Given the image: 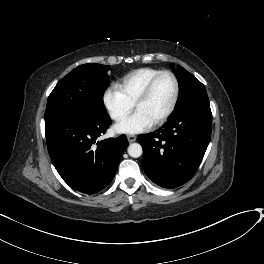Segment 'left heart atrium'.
<instances>
[{
    "instance_id": "left-heart-atrium-1",
    "label": "left heart atrium",
    "mask_w": 264,
    "mask_h": 264,
    "mask_svg": "<svg viewBox=\"0 0 264 264\" xmlns=\"http://www.w3.org/2000/svg\"><path fill=\"white\" fill-rule=\"evenodd\" d=\"M153 122L143 113L136 111L122 122L116 125V131L119 133L136 134L149 129Z\"/></svg>"
}]
</instances>
